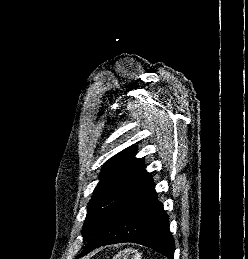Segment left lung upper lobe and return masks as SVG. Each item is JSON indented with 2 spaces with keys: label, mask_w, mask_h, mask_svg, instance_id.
<instances>
[{
  "label": "left lung upper lobe",
  "mask_w": 248,
  "mask_h": 259,
  "mask_svg": "<svg viewBox=\"0 0 248 259\" xmlns=\"http://www.w3.org/2000/svg\"><path fill=\"white\" fill-rule=\"evenodd\" d=\"M136 148L130 146L113 156L100 174V182L87 207L83 240L132 202L154 190L152 176L144 169L142 159L134 158Z\"/></svg>",
  "instance_id": "obj_1"
}]
</instances>
